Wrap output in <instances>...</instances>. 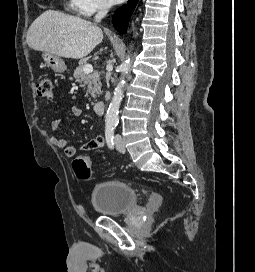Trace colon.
<instances>
[{
	"label": "colon",
	"mask_w": 255,
	"mask_h": 272,
	"mask_svg": "<svg viewBox=\"0 0 255 272\" xmlns=\"http://www.w3.org/2000/svg\"><path fill=\"white\" fill-rule=\"evenodd\" d=\"M37 93L40 97L51 99L53 96V82L50 76H44L37 85ZM76 176L81 180H87L91 176L90 161L87 156H81L73 162Z\"/></svg>",
	"instance_id": "1"
}]
</instances>
